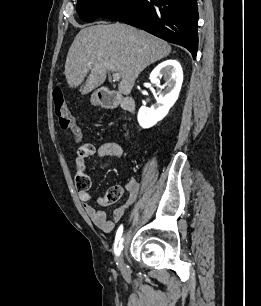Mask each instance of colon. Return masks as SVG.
I'll list each match as a JSON object with an SVG mask.
<instances>
[{"label": "colon", "instance_id": "obj_1", "mask_svg": "<svg viewBox=\"0 0 261 306\" xmlns=\"http://www.w3.org/2000/svg\"><path fill=\"white\" fill-rule=\"evenodd\" d=\"M53 106L54 114L59 122L60 127L75 136L79 135L78 129L75 125L74 118L70 113L66 104L64 94L60 88L53 90ZM93 153V146L89 143L82 144L76 152V163H84L87 158ZM86 184H82L81 187H85ZM122 195V190L119 186H113L107 190L105 194L99 197V203L101 205H110L115 203Z\"/></svg>", "mask_w": 261, "mask_h": 306}]
</instances>
